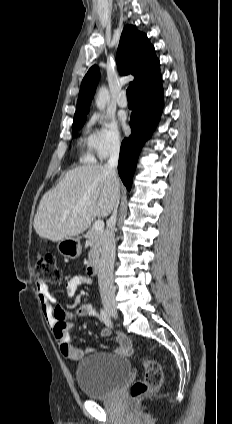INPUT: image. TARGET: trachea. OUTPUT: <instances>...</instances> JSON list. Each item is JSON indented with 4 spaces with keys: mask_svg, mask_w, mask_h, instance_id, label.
<instances>
[{
    "mask_svg": "<svg viewBox=\"0 0 232 424\" xmlns=\"http://www.w3.org/2000/svg\"><path fill=\"white\" fill-rule=\"evenodd\" d=\"M134 92H135V86H130L127 89V98H128V100H134V98H135Z\"/></svg>",
    "mask_w": 232,
    "mask_h": 424,
    "instance_id": "obj_1",
    "label": "trachea"
}]
</instances>
